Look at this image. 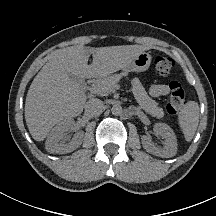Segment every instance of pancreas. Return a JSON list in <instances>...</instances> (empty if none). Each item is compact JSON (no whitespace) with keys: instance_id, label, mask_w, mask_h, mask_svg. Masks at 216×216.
<instances>
[{"instance_id":"obj_1","label":"pancreas","mask_w":216,"mask_h":216,"mask_svg":"<svg viewBox=\"0 0 216 216\" xmlns=\"http://www.w3.org/2000/svg\"><path fill=\"white\" fill-rule=\"evenodd\" d=\"M126 75V73H122L99 78L97 79L95 86L102 88L103 91L100 94L107 95L115 89V86H118L117 83L121 79V77ZM132 91L137 103L143 110H145L153 117L163 118V109L161 107H158V103L147 95L145 88L137 78H134L132 80Z\"/></svg>"}]
</instances>
